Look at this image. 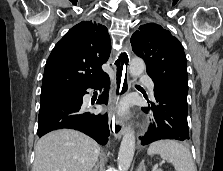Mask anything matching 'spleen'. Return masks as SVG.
<instances>
[{
  "label": "spleen",
  "instance_id": "spleen-1",
  "mask_svg": "<svg viewBox=\"0 0 223 171\" xmlns=\"http://www.w3.org/2000/svg\"><path fill=\"white\" fill-rule=\"evenodd\" d=\"M148 155L158 154L163 160L173 164L176 171H197L192 155L187 147L174 140H160L150 144Z\"/></svg>",
  "mask_w": 223,
  "mask_h": 171
}]
</instances>
